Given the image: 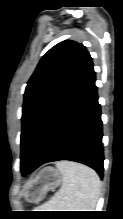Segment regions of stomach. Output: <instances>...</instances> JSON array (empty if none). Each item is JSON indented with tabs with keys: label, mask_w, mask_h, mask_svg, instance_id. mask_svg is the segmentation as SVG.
<instances>
[{
	"label": "stomach",
	"mask_w": 123,
	"mask_h": 219,
	"mask_svg": "<svg viewBox=\"0 0 123 219\" xmlns=\"http://www.w3.org/2000/svg\"><path fill=\"white\" fill-rule=\"evenodd\" d=\"M62 173L53 167H45L31 181L27 190V200L41 201L49 190H54L62 183Z\"/></svg>",
	"instance_id": "stomach-1"
}]
</instances>
